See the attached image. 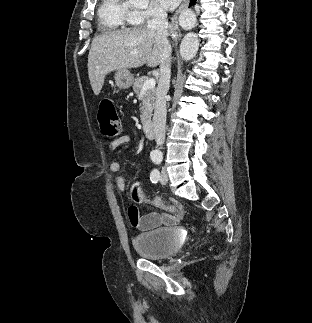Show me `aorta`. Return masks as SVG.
Masks as SVG:
<instances>
[{"label":"aorta","mask_w":312,"mask_h":323,"mask_svg":"<svg viewBox=\"0 0 312 323\" xmlns=\"http://www.w3.org/2000/svg\"><path fill=\"white\" fill-rule=\"evenodd\" d=\"M199 44L197 34H193V32L186 34L180 44V56L182 60H185V62L187 60H193L199 50Z\"/></svg>","instance_id":"aorta-1"}]
</instances>
